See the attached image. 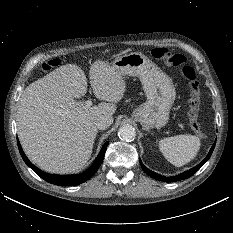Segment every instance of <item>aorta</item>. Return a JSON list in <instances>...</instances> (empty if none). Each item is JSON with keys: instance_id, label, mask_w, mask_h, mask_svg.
Masks as SVG:
<instances>
[{"instance_id": "aorta-1", "label": "aorta", "mask_w": 233, "mask_h": 233, "mask_svg": "<svg viewBox=\"0 0 233 233\" xmlns=\"http://www.w3.org/2000/svg\"><path fill=\"white\" fill-rule=\"evenodd\" d=\"M118 136L123 141H132L135 139L136 131L131 125H123L119 128Z\"/></svg>"}]
</instances>
